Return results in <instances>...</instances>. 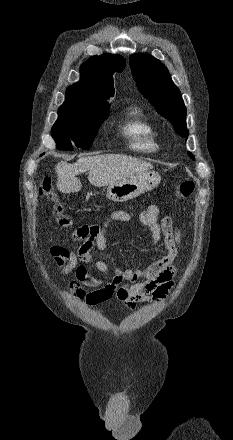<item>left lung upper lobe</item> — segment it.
Wrapping results in <instances>:
<instances>
[{
	"label": "left lung upper lobe",
	"mask_w": 233,
	"mask_h": 440,
	"mask_svg": "<svg viewBox=\"0 0 233 440\" xmlns=\"http://www.w3.org/2000/svg\"><path fill=\"white\" fill-rule=\"evenodd\" d=\"M130 66L140 92L172 123L180 136L187 138L186 108L168 69L158 59L143 53L131 55ZM188 155L195 159L190 152Z\"/></svg>",
	"instance_id": "5c2ea615"
}]
</instances>
